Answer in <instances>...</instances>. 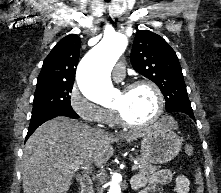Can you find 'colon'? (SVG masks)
I'll use <instances>...</instances> for the list:
<instances>
[{"label": "colon", "mask_w": 221, "mask_h": 193, "mask_svg": "<svg viewBox=\"0 0 221 193\" xmlns=\"http://www.w3.org/2000/svg\"><path fill=\"white\" fill-rule=\"evenodd\" d=\"M185 151L189 155H194L195 153V148L191 144H187L185 146ZM194 180L196 184V193H203V176H202V171L200 168H197L194 174Z\"/></svg>", "instance_id": "5ec220e1"}]
</instances>
